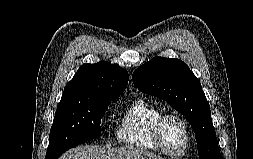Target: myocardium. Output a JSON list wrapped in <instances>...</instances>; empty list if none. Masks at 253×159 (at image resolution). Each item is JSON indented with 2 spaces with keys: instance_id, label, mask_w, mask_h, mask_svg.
<instances>
[{
  "instance_id": "myocardium-1",
  "label": "myocardium",
  "mask_w": 253,
  "mask_h": 159,
  "mask_svg": "<svg viewBox=\"0 0 253 159\" xmlns=\"http://www.w3.org/2000/svg\"><path fill=\"white\" fill-rule=\"evenodd\" d=\"M169 119L177 120L181 124V126L184 130L185 141H184L183 148L181 149L180 152H171L163 144L162 128H163L164 123ZM152 139H153L155 145L158 147V149L161 150L163 153H165L171 157H181L185 154V152L187 151V149L189 147L190 130H189L187 122L185 121V119L182 116H180L179 114L174 113V112H165V113H162L153 124Z\"/></svg>"
}]
</instances>
